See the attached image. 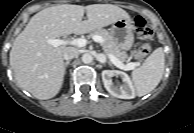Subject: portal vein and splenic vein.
Returning a JSON list of instances; mask_svg holds the SVG:
<instances>
[{"label": "portal vein and splenic vein", "mask_w": 194, "mask_h": 133, "mask_svg": "<svg viewBox=\"0 0 194 133\" xmlns=\"http://www.w3.org/2000/svg\"><path fill=\"white\" fill-rule=\"evenodd\" d=\"M93 40L97 43H103L104 39L99 36L95 35L93 36ZM46 42L53 47H58V46H66V45H73L77 47H84L87 44V40L83 38H77V39H72V40H62V39H46ZM110 61L117 66L118 68L125 69V70H132L135 67L139 66V62H131L126 65H124L120 60H118L114 55L108 54L107 55Z\"/></svg>", "instance_id": "portal-vein-and-splenic-vein-1"}]
</instances>
